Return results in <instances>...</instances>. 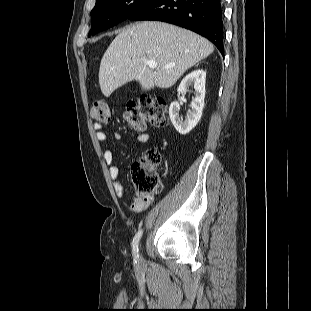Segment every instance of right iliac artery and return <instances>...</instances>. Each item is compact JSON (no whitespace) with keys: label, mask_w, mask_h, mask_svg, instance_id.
Returning <instances> with one entry per match:
<instances>
[{"label":"right iliac artery","mask_w":311,"mask_h":311,"mask_svg":"<svg viewBox=\"0 0 311 311\" xmlns=\"http://www.w3.org/2000/svg\"><path fill=\"white\" fill-rule=\"evenodd\" d=\"M143 234V230L140 229L137 234L135 235V237L133 238V242H132V247H133V255H134V261L137 262L138 260V251H139V248H138V245H139V241H140V238Z\"/></svg>","instance_id":"82829eb1"}]
</instances>
